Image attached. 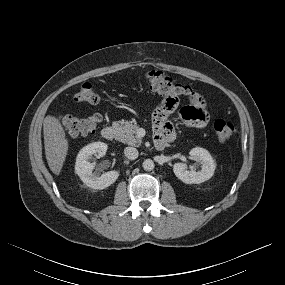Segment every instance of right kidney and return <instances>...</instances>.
<instances>
[{"mask_svg":"<svg viewBox=\"0 0 285 285\" xmlns=\"http://www.w3.org/2000/svg\"><path fill=\"white\" fill-rule=\"evenodd\" d=\"M107 151V144L103 142H94L83 147L76 158L75 173L80 177L84 184L93 189H105L112 185L119 177V171H109L97 176L92 173L93 165L89 159L93 154L99 157L105 155Z\"/></svg>","mask_w":285,"mask_h":285,"instance_id":"obj_1","label":"right kidney"}]
</instances>
